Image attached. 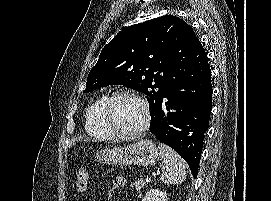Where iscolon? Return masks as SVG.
Masks as SVG:
<instances>
[{"mask_svg":"<svg viewBox=\"0 0 271 201\" xmlns=\"http://www.w3.org/2000/svg\"><path fill=\"white\" fill-rule=\"evenodd\" d=\"M88 172L85 167H80L77 172L76 178V190L79 193H83L86 191L88 186Z\"/></svg>","mask_w":271,"mask_h":201,"instance_id":"1","label":"colon"}]
</instances>
